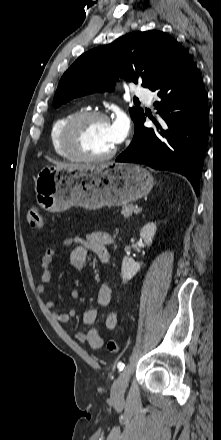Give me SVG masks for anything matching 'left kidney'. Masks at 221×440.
I'll return each instance as SVG.
<instances>
[{
  "label": "left kidney",
  "instance_id": "1",
  "mask_svg": "<svg viewBox=\"0 0 221 440\" xmlns=\"http://www.w3.org/2000/svg\"><path fill=\"white\" fill-rule=\"evenodd\" d=\"M156 224L149 222L143 226L140 230V237L143 239L144 243L149 247L152 244L154 235L156 233ZM142 262H135L131 257H124L121 267V276L123 281H128L132 279L136 273L140 270Z\"/></svg>",
  "mask_w": 221,
  "mask_h": 440
}]
</instances>
